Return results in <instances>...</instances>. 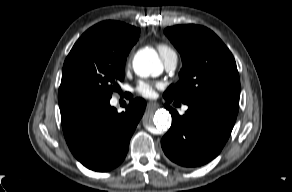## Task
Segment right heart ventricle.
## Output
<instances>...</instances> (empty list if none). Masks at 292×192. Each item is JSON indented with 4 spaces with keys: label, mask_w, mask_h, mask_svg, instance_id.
<instances>
[{
    "label": "right heart ventricle",
    "mask_w": 292,
    "mask_h": 192,
    "mask_svg": "<svg viewBox=\"0 0 292 192\" xmlns=\"http://www.w3.org/2000/svg\"><path fill=\"white\" fill-rule=\"evenodd\" d=\"M158 50L162 58H164L166 55H168L171 52H174L168 45L166 44H159Z\"/></svg>",
    "instance_id": "1"
}]
</instances>
